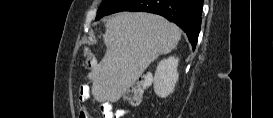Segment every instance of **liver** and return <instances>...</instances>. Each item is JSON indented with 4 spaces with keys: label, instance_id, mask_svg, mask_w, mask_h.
I'll return each mask as SVG.
<instances>
[{
    "label": "liver",
    "instance_id": "1",
    "mask_svg": "<svg viewBox=\"0 0 273 118\" xmlns=\"http://www.w3.org/2000/svg\"><path fill=\"white\" fill-rule=\"evenodd\" d=\"M103 38L105 56L88 77L98 102H116L151 62L177 46L181 31L155 14L121 12L107 20Z\"/></svg>",
    "mask_w": 273,
    "mask_h": 118
}]
</instances>
